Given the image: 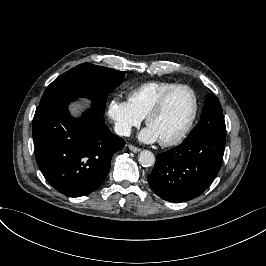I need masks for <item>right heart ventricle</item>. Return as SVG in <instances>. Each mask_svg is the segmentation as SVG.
Here are the masks:
<instances>
[{"label":"right heart ventricle","instance_id":"obj_1","mask_svg":"<svg viewBox=\"0 0 266 266\" xmlns=\"http://www.w3.org/2000/svg\"><path fill=\"white\" fill-rule=\"evenodd\" d=\"M176 84L171 81L145 82L130 92L128 100L139 115L146 117L149 109L158 100L160 95Z\"/></svg>","mask_w":266,"mask_h":266}]
</instances>
